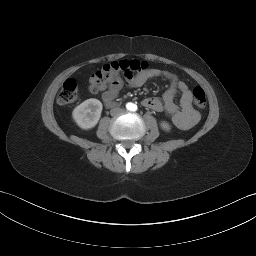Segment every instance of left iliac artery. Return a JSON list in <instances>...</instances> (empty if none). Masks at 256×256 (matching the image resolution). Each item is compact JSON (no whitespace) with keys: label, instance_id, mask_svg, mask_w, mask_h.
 <instances>
[{"label":"left iliac artery","instance_id":"44dca946","mask_svg":"<svg viewBox=\"0 0 256 256\" xmlns=\"http://www.w3.org/2000/svg\"><path fill=\"white\" fill-rule=\"evenodd\" d=\"M133 111H136L137 110V106L134 105L133 108H132Z\"/></svg>","mask_w":256,"mask_h":256}]
</instances>
